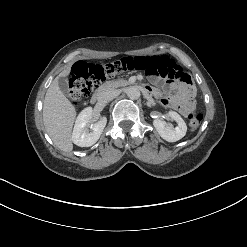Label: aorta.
<instances>
[{
    "label": "aorta",
    "mask_w": 247,
    "mask_h": 247,
    "mask_svg": "<svg viewBox=\"0 0 247 247\" xmlns=\"http://www.w3.org/2000/svg\"><path fill=\"white\" fill-rule=\"evenodd\" d=\"M127 96L132 100H136L140 97V90L136 86H131L127 89Z\"/></svg>",
    "instance_id": "1"
}]
</instances>
